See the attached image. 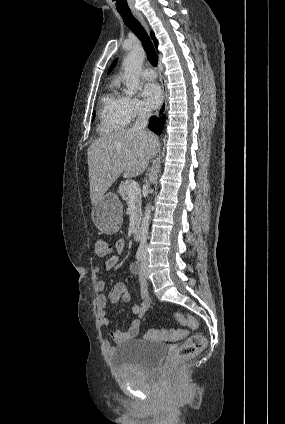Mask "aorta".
<instances>
[{"label":"aorta","instance_id":"aorta-1","mask_svg":"<svg viewBox=\"0 0 285 424\" xmlns=\"http://www.w3.org/2000/svg\"><path fill=\"white\" fill-rule=\"evenodd\" d=\"M145 59V51L141 47L134 48L123 61L124 79L126 82L125 93L129 96L134 95L140 89V73ZM151 205H147L141 226L140 245L144 246L147 241L149 224L151 219Z\"/></svg>","mask_w":285,"mask_h":424}]
</instances>
